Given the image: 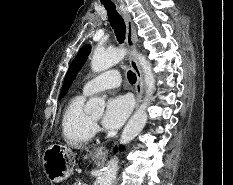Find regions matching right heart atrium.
<instances>
[{
  "label": "right heart atrium",
  "instance_id": "1",
  "mask_svg": "<svg viewBox=\"0 0 233 185\" xmlns=\"http://www.w3.org/2000/svg\"><path fill=\"white\" fill-rule=\"evenodd\" d=\"M98 130L97 125H94V132H96Z\"/></svg>",
  "mask_w": 233,
  "mask_h": 185
}]
</instances>
